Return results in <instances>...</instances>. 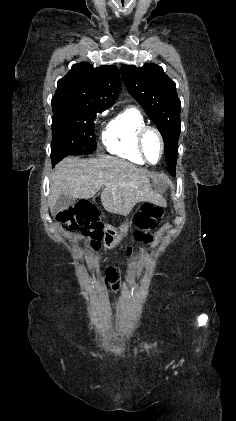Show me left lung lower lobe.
Masks as SVG:
<instances>
[{"label": "left lung lower lobe", "instance_id": "1", "mask_svg": "<svg viewBox=\"0 0 236 421\" xmlns=\"http://www.w3.org/2000/svg\"><path fill=\"white\" fill-rule=\"evenodd\" d=\"M167 166H168V171H169V174H170L171 176H175V175H176V172H175V165L167 164Z\"/></svg>", "mask_w": 236, "mask_h": 421}]
</instances>
